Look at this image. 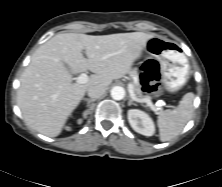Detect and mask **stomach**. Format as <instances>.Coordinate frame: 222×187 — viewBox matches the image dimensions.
<instances>
[{
	"label": "stomach",
	"instance_id": "0dacf381",
	"mask_svg": "<svg viewBox=\"0 0 222 187\" xmlns=\"http://www.w3.org/2000/svg\"><path fill=\"white\" fill-rule=\"evenodd\" d=\"M151 56L158 60L165 82L169 91H177L183 87L190 78V65L182 47L165 37L154 35L144 48ZM141 52L136 55V59Z\"/></svg>",
	"mask_w": 222,
	"mask_h": 187
}]
</instances>
